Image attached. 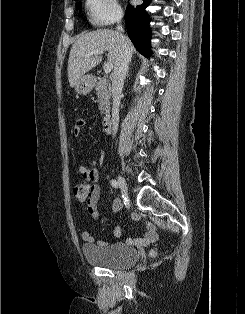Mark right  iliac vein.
<instances>
[{
	"instance_id": "63e3f726",
	"label": "right iliac vein",
	"mask_w": 245,
	"mask_h": 314,
	"mask_svg": "<svg viewBox=\"0 0 245 314\" xmlns=\"http://www.w3.org/2000/svg\"><path fill=\"white\" fill-rule=\"evenodd\" d=\"M117 180H118V184H119V187L121 190L122 197L124 199H127L128 198V188H127V184H126L125 179L121 175H118Z\"/></svg>"
}]
</instances>
